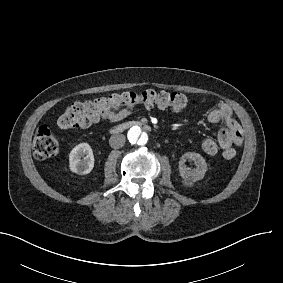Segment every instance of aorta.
Wrapping results in <instances>:
<instances>
[{
    "label": "aorta",
    "mask_w": 283,
    "mask_h": 283,
    "mask_svg": "<svg viewBox=\"0 0 283 283\" xmlns=\"http://www.w3.org/2000/svg\"><path fill=\"white\" fill-rule=\"evenodd\" d=\"M127 138L131 144L144 146L149 140L148 133L138 126H133L127 133Z\"/></svg>",
    "instance_id": "762f6f07"
}]
</instances>
